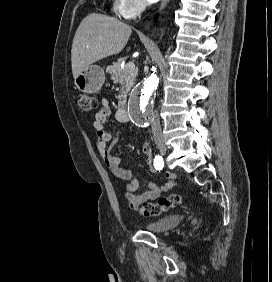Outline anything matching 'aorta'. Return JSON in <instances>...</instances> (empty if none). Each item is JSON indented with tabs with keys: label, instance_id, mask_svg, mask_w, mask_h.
Wrapping results in <instances>:
<instances>
[{
	"label": "aorta",
	"instance_id": "762f6f07",
	"mask_svg": "<svg viewBox=\"0 0 272 282\" xmlns=\"http://www.w3.org/2000/svg\"><path fill=\"white\" fill-rule=\"evenodd\" d=\"M159 79L156 74L146 77L133 91L130 99V113L136 122H147L152 113V99Z\"/></svg>",
	"mask_w": 272,
	"mask_h": 282
}]
</instances>
